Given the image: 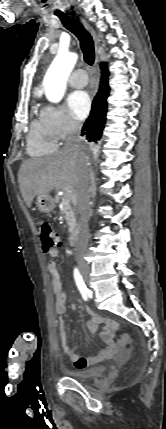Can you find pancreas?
Wrapping results in <instances>:
<instances>
[{
  "label": "pancreas",
  "instance_id": "obj_1",
  "mask_svg": "<svg viewBox=\"0 0 166 429\" xmlns=\"http://www.w3.org/2000/svg\"><path fill=\"white\" fill-rule=\"evenodd\" d=\"M71 201L72 199H66L64 196L62 198V206L60 207V212L65 215V219L69 226V232H73L78 226L76 221V208L70 205Z\"/></svg>",
  "mask_w": 166,
  "mask_h": 429
}]
</instances>
